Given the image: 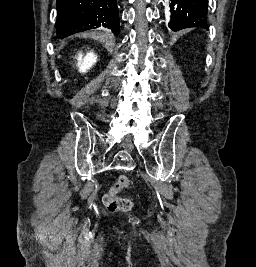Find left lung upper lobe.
<instances>
[{"label":"left lung upper lobe","instance_id":"obj_1","mask_svg":"<svg viewBox=\"0 0 256 267\" xmlns=\"http://www.w3.org/2000/svg\"><path fill=\"white\" fill-rule=\"evenodd\" d=\"M208 2V1H207ZM191 16L194 18L193 21L197 22L200 28L209 29L206 16H207V5L206 4H199L198 6L191 9L190 12ZM194 24V22H191Z\"/></svg>","mask_w":256,"mask_h":267}]
</instances>
